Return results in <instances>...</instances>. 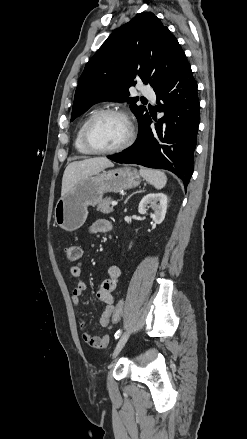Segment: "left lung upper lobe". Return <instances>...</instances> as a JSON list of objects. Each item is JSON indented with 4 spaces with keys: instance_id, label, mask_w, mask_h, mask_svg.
I'll return each mask as SVG.
<instances>
[{
    "instance_id": "obj_1",
    "label": "left lung upper lobe",
    "mask_w": 247,
    "mask_h": 439,
    "mask_svg": "<svg viewBox=\"0 0 247 439\" xmlns=\"http://www.w3.org/2000/svg\"><path fill=\"white\" fill-rule=\"evenodd\" d=\"M186 60L174 35L151 12L117 29L87 62L76 88L71 121L101 101L130 103L139 125L149 115L129 87L137 80L160 88Z\"/></svg>"
}]
</instances>
